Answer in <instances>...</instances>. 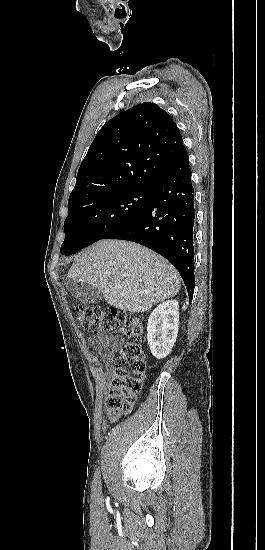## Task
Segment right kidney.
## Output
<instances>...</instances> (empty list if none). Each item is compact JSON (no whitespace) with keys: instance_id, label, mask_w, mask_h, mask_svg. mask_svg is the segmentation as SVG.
Returning a JSON list of instances; mask_svg holds the SVG:
<instances>
[{"instance_id":"1","label":"right kidney","mask_w":265,"mask_h":550,"mask_svg":"<svg viewBox=\"0 0 265 550\" xmlns=\"http://www.w3.org/2000/svg\"><path fill=\"white\" fill-rule=\"evenodd\" d=\"M177 300L158 305L150 314L147 325V339L150 351L157 359L165 358L176 342L179 324Z\"/></svg>"}]
</instances>
